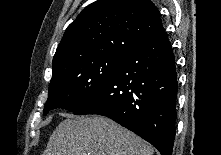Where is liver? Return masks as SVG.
I'll return each instance as SVG.
<instances>
[{
	"instance_id": "6515ba94",
	"label": "liver",
	"mask_w": 221,
	"mask_h": 155,
	"mask_svg": "<svg viewBox=\"0 0 221 155\" xmlns=\"http://www.w3.org/2000/svg\"><path fill=\"white\" fill-rule=\"evenodd\" d=\"M153 148L102 116L77 117L59 123L43 155H153Z\"/></svg>"
}]
</instances>
